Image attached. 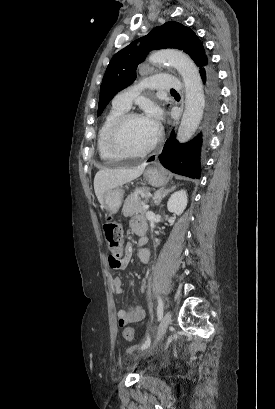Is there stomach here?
Instances as JSON below:
<instances>
[{
    "label": "stomach",
    "mask_w": 275,
    "mask_h": 409,
    "mask_svg": "<svg viewBox=\"0 0 275 409\" xmlns=\"http://www.w3.org/2000/svg\"><path fill=\"white\" fill-rule=\"evenodd\" d=\"M145 178H147L149 184L152 186H164L169 182L168 176H166L165 172H161L159 168L156 166H148L144 172ZM123 188L122 186H117V188H110V190H106L103 196V207H105L106 211L110 213V215H115L118 213L123 200Z\"/></svg>",
    "instance_id": "0dacf381"
}]
</instances>
